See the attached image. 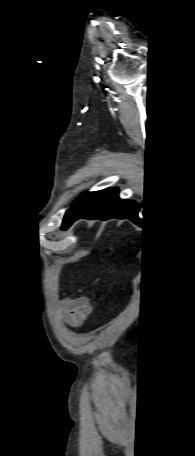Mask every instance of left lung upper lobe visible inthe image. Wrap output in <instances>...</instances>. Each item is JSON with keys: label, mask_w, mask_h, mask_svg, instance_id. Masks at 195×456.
Wrapping results in <instances>:
<instances>
[{"label": "left lung upper lobe", "mask_w": 195, "mask_h": 456, "mask_svg": "<svg viewBox=\"0 0 195 456\" xmlns=\"http://www.w3.org/2000/svg\"><path fill=\"white\" fill-rule=\"evenodd\" d=\"M97 192H90L82 194L71 206V208L66 212L64 217L63 224L70 218L73 214L78 212L85 204H87L97 193ZM62 224V225H63Z\"/></svg>", "instance_id": "1"}]
</instances>
